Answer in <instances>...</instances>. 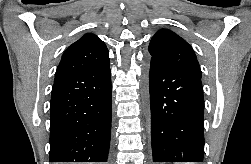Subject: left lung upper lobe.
Masks as SVG:
<instances>
[{
	"label": "left lung upper lobe",
	"instance_id": "obj_1",
	"mask_svg": "<svg viewBox=\"0 0 251 164\" xmlns=\"http://www.w3.org/2000/svg\"><path fill=\"white\" fill-rule=\"evenodd\" d=\"M148 50L151 61H161L201 77L200 65L192 47L176 33L159 30L152 37Z\"/></svg>",
	"mask_w": 251,
	"mask_h": 164
}]
</instances>
